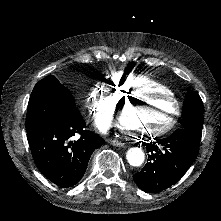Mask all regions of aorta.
<instances>
[{
    "label": "aorta",
    "mask_w": 221,
    "mask_h": 221,
    "mask_svg": "<svg viewBox=\"0 0 221 221\" xmlns=\"http://www.w3.org/2000/svg\"><path fill=\"white\" fill-rule=\"evenodd\" d=\"M126 159L130 165L137 167L143 164L145 154L140 148L132 147L127 151Z\"/></svg>",
    "instance_id": "obj_1"
}]
</instances>
